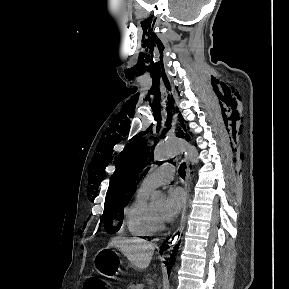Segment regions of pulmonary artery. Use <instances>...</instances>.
I'll list each match as a JSON object with an SVG mask.
<instances>
[{"label": "pulmonary artery", "mask_w": 289, "mask_h": 289, "mask_svg": "<svg viewBox=\"0 0 289 289\" xmlns=\"http://www.w3.org/2000/svg\"><path fill=\"white\" fill-rule=\"evenodd\" d=\"M173 176L174 167L168 163L162 164L143 178L139 189L151 191L160 185L169 183L173 179Z\"/></svg>", "instance_id": "1"}]
</instances>
